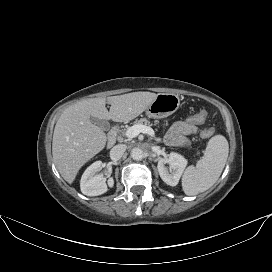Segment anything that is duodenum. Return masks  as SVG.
<instances>
[{"mask_svg": "<svg viewBox=\"0 0 272 272\" xmlns=\"http://www.w3.org/2000/svg\"><path fill=\"white\" fill-rule=\"evenodd\" d=\"M117 132H118L117 126L113 127L112 130L109 132L107 141L108 147H112L117 142Z\"/></svg>", "mask_w": 272, "mask_h": 272, "instance_id": "duodenum-1", "label": "duodenum"}]
</instances>
